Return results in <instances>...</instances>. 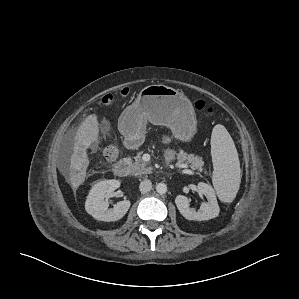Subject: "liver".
<instances>
[{
    "mask_svg": "<svg viewBox=\"0 0 299 299\" xmlns=\"http://www.w3.org/2000/svg\"><path fill=\"white\" fill-rule=\"evenodd\" d=\"M99 137V123L96 115L87 117L79 127L73 153L70 158L69 181L74 190L83 184L86 171L89 166L87 149L92 143L96 142Z\"/></svg>",
    "mask_w": 299,
    "mask_h": 299,
    "instance_id": "1",
    "label": "liver"
}]
</instances>
